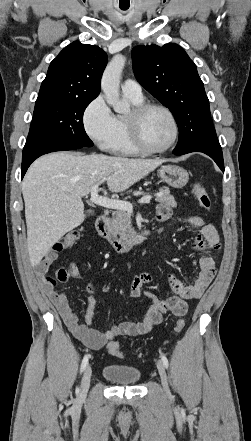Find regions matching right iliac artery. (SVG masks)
Listing matches in <instances>:
<instances>
[{
    "label": "right iliac artery",
    "instance_id": "1",
    "mask_svg": "<svg viewBox=\"0 0 251 441\" xmlns=\"http://www.w3.org/2000/svg\"><path fill=\"white\" fill-rule=\"evenodd\" d=\"M88 359H89V355L87 354V355L84 356V358L82 360L81 368H80L81 372H83L84 369L86 368V365L88 364Z\"/></svg>",
    "mask_w": 251,
    "mask_h": 441
}]
</instances>
